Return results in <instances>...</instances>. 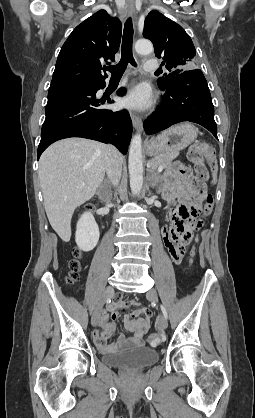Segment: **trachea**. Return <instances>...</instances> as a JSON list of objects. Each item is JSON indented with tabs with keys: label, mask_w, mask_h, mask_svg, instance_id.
Listing matches in <instances>:
<instances>
[{
	"label": "trachea",
	"mask_w": 255,
	"mask_h": 418,
	"mask_svg": "<svg viewBox=\"0 0 255 418\" xmlns=\"http://www.w3.org/2000/svg\"><path fill=\"white\" fill-rule=\"evenodd\" d=\"M133 43V25L131 18H128L124 25L122 48H121V60L114 66H109L106 69L112 74V77L122 76L127 68L128 63L136 66L132 53Z\"/></svg>",
	"instance_id": "obj_1"
}]
</instances>
